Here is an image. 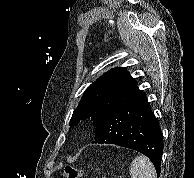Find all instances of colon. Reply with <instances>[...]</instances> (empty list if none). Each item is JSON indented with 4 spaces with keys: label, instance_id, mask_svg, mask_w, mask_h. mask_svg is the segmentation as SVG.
<instances>
[{
    "label": "colon",
    "instance_id": "colon-1",
    "mask_svg": "<svg viewBox=\"0 0 194 178\" xmlns=\"http://www.w3.org/2000/svg\"><path fill=\"white\" fill-rule=\"evenodd\" d=\"M62 176L63 178H82L84 176V172L80 168L66 166L62 170Z\"/></svg>",
    "mask_w": 194,
    "mask_h": 178
}]
</instances>
